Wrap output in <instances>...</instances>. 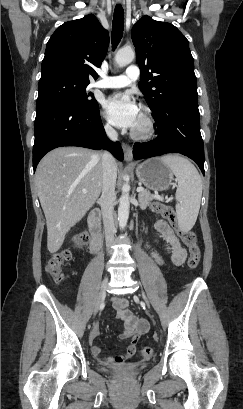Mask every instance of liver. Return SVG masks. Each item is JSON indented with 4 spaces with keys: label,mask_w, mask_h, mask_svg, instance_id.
<instances>
[{
    "label": "liver",
    "mask_w": 243,
    "mask_h": 409,
    "mask_svg": "<svg viewBox=\"0 0 243 409\" xmlns=\"http://www.w3.org/2000/svg\"><path fill=\"white\" fill-rule=\"evenodd\" d=\"M102 182L100 153L80 147H59L42 158L35 184L46 218L50 253L61 248L71 227L95 204ZM84 189L86 194L82 193Z\"/></svg>",
    "instance_id": "obj_1"
}]
</instances>
